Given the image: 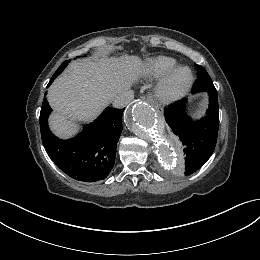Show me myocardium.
Returning <instances> with one entry per match:
<instances>
[{"label": "myocardium", "mask_w": 260, "mask_h": 260, "mask_svg": "<svg viewBox=\"0 0 260 260\" xmlns=\"http://www.w3.org/2000/svg\"><path fill=\"white\" fill-rule=\"evenodd\" d=\"M180 70H187L189 73L188 80L181 85L174 82V77ZM193 82L192 69L187 65H176L163 74L155 88V93L160 99L175 100L182 97L191 88Z\"/></svg>", "instance_id": "obj_1"}]
</instances>
